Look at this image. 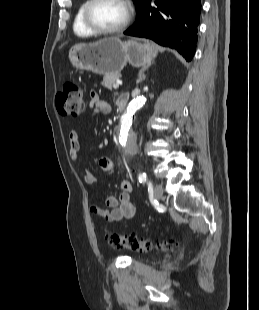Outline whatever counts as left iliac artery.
I'll use <instances>...</instances> for the list:
<instances>
[{
    "label": "left iliac artery",
    "instance_id": "1",
    "mask_svg": "<svg viewBox=\"0 0 259 310\" xmlns=\"http://www.w3.org/2000/svg\"><path fill=\"white\" fill-rule=\"evenodd\" d=\"M138 179H139V182H140V183H143V184L148 183V186H149V187L151 186V183L148 182V178H147V175H146L145 172L139 173Z\"/></svg>",
    "mask_w": 259,
    "mask_h": 310
}]
</instances>
